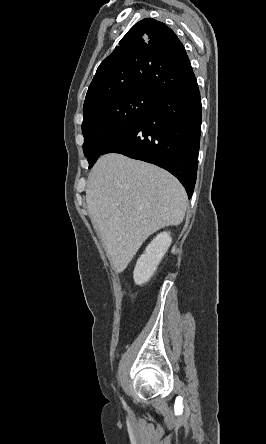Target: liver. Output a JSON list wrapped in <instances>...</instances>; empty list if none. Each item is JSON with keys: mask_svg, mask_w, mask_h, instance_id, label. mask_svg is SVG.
Wrapping results in <instances>:
<instances>
[{"mask_svg": "<svg viewBox=\"0 0 266 444\" xmlns=\"http://www.w3.org/2000/svg\"><path fill=\"white\" fill-rule=\"evenodd\" d=\"M86 202L115 272H123L143 242L185 216L187 194L167 171L121 154L99 158Z\"/></svg>", "mask_w": 266, "mask_h": 444, "instance_id": "6515ba94", "label": "liver"}]
</instances>
